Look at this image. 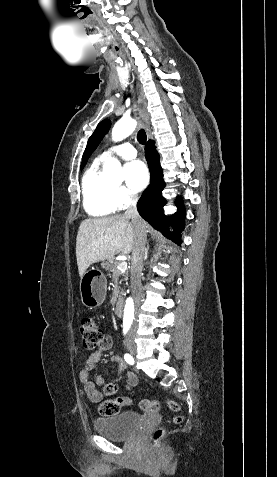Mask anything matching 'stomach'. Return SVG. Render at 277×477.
I'll list each match as a JSON object with an SVG mask.
<instances>
[{
  "label": "stomach",
  "instance_id": "obj_1",
  "mask_svg": "<svg viewBox=\"0 0 277 477\" xmlns=\"http://www.w3.org/2000/svg\"><path fill=\"white\" fill-rule=\"evenodd\" d=\"M79 289L82 304L88 308H96L106 297V277L98 270H88L81 277Z\"/></svg>",
  "mask_w": 277,
  "mask_h": 477
}]
</instances>
